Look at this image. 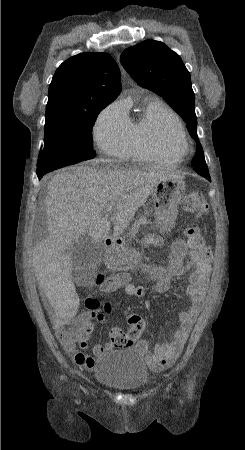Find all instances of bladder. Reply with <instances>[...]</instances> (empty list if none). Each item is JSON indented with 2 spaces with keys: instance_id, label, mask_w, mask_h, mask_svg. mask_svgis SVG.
<instances>
[{
  "instance_id": "bladder-1",
  "label": "bladder",
  "mask_w": 245,
  "mask_h": 450,
  "mask_svg": "<svg viewBox=\"0 0 245 450\" xmlns=\"http://www.w3.org/2000/svg\"><path fill=\"white\" fill-rule=\"evenodd\" d=\"M148 369L133 348L109 352L95 364L96 380L112 389L134 393L147 384Z\"/></svg>"
}]
</instances>
